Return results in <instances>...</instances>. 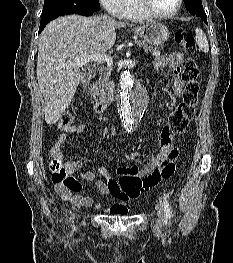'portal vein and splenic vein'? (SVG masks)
Segmentation results:
<instances>
[{
	"label": "portal vein and splenic vein",
	"mask_w": 233,
	"mask_h": 263,
	"mask_svg": "<svg viewBox=\"0 0 233 263\" xmlns=\"http://www.w3.org/2000/svg\"><path fill=\"white\" fill-rule=\"evenodd\" d=\"M154 56H159L160 52H153ZM90 61H95L98 63L106 62L108 65H112L113 59L106 54H94V55H83L79 58L74 59L72 62L68 63L67 66H82Z\"/></svg>",
	"instance_id": "18ae733b"
}]
</instances>
